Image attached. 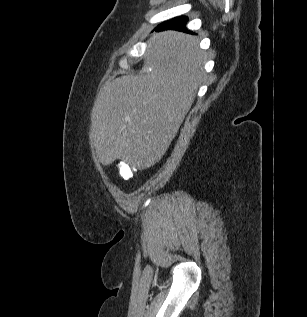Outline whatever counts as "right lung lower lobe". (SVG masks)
Wrapping results in <instances>:
<instances>
[{"label":"right lung lower lobe","instance_id":"98d812e1","mask_svg":"<svg viewBox=\"0 0 307 317\" xmlns=\"http://www.w3.org/2000/svg\"><path fill=\"white\" fill-rule=\"evenodd\" d=\"M188 18L186 16L175 17L169 21L163 22L157 26L156 31H162L167 29L187 31L186 23Z\"/></svg>","mask_w":307,"mask_h":317}]
</instances>
